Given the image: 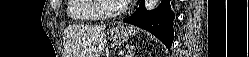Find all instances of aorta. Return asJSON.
Returning <instances> with one entry per match:
<instances>
[{
	"label": "aorta",
	"instance_id": "762f6f07",
	"mask_svg": "<svg viewBox=\"0 0 249 57\" xmlns=\"http://www.w3.org/2000/svg\"><path fill=\"white\" fill-rule=\"evenodd\" d=\"M158 4V0H145L146 11L154 10Z\"/></svg>",
	"mask_w": 249,
	"mask_h": 57
}]
</instances>
